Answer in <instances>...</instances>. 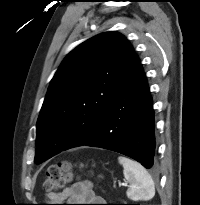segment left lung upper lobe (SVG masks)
Returning a JSON list of instances; mask_svg holds the SVG:
<instances>
[{"label": "left lung upper lobe", "instance_id": "obj_1", "mask_svg": "<svg viewBox=\"0 0 200 205\" xmlns=\"http://www.w3.org/2000/svg\"><path fill=\"white\" fill-rule=\"evenodd\" d=\"M133 53L123 35L105 32L66 56L51 80L36 124V163L90 137L111 104Z\"/></svg>", "mask_w": 200, "mask_h": 205}]
</instances>
